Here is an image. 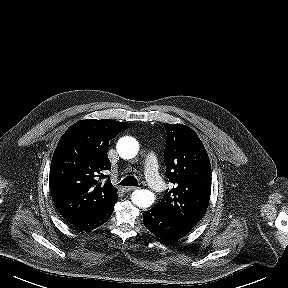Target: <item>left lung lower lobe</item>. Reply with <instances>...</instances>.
<instances>
[{
    "label": "left lung lower lobe",
    "mask_w": 288,
    "mask_h": 288,
    "mask_svg": "<svg viewBox=\"0 0 288 288\" xmlns=\"http://www.w3.org/2000/svg\"><path fill=\"white\" fill-rule=\"evenodd\" d=\"M143 224L155 236L166 242L184 237L193 228L156 210L155 206L144 212Z\"/></svg>",
    "instance_id": "1"
}]
</instances>
